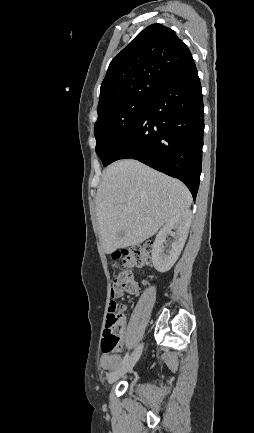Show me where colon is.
Listing matches in <instances>:
<instances>
[{"instance_id": "colon-1", "label": "colon", "mask_w": 254, "mask_h": 433, "mask_svg": "<svg viewBox=\"0 0 254 433\" xmlns=\"http://www.w3.org/2000/svg\"><path fill=\"white\" fill-rule=\"evenodd\" d=\"M149 252L150 246L146 245L134 247L115 257V267L119 270L112 277V293L127 292L136 294L138 292L139 285L132 270L147 259ZM121 311L122 306L115 299H112L106 318L102 344V350L106 354L114 353L120 347L125 327Z\"/></svg>"}]
</instances>
